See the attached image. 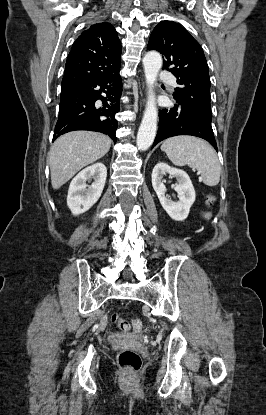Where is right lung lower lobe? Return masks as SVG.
<instances>
[{"instance_id": "98d812e1", "label": "right lung lower lobe", "mask_w": 266, "mask_h": 415, "mask_svg": "<svg viewBox=\"0 0 266 415\" xmlns=\"http://www.w3.org/2000/svg\"><path fill=\"white\" fill-rule=\"evenodd\" d=\"M119 71L62 88L53 141L70 131L90 130L107 134L116 142L115 114L120 110L122 88Z\"/></svg>"}]
</instances>
